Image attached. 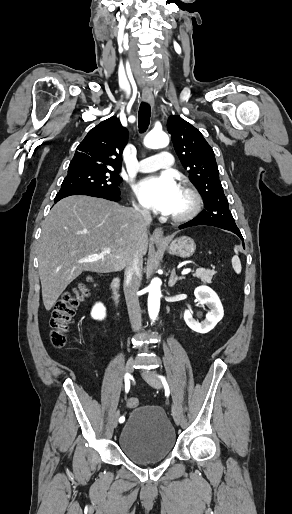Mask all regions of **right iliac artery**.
<instances>
[{
    "label": "right iliac artery",
    "mask_w": 292,
    "mask_h": 514,
    "mask_svg": "<svg viewBox=\"0 0 292 514\" xmlns=\"http://www.w3.org/2000/svg\"><path fill=\"white\" fill-rule=\"evenodd\" d=\"M129 378H130V374H128V373H127V374L125 375V392H126V393H128V391H129V389H130V380H129ZM124 421H125V417H124V416H121V417L119 418V422H120V423H123Z\"/></svg>",
    "instance_id": "obj_1"
}]
</instances>
